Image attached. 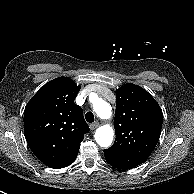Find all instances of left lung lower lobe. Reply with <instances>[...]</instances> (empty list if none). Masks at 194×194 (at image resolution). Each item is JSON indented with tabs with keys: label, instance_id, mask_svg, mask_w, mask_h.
I'll return each mask as SVG.
<instances>
[{
	"label": "left lung lower lobe",
	"instance_id": "left-lung-lower-lobe-1",
	"mask_svg": "<svg viewBox=\"0 0 194 194\" xmlns=\"http://www.w3.org/2000/svg\"><path fill=\"white\" fill-rule=\"evenodd\" d=\"M106 160H107V162H108L111 166H113V167H115V168L123 169V170L132 169V167H128V166L119 164V163H117V162H115V161H113V160H111V159H109V158H106Z\"/></svg>",
	"mask_w": 194,
	"mask_h": 194
}]
</instances>
